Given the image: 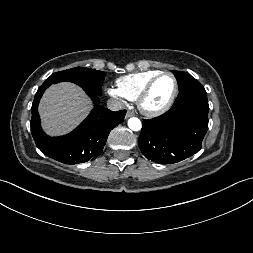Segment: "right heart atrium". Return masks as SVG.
<instances>
[{
    "label": "right heart atrium",
    "instance_id": "1",
    "mask_svg": "<svg viewBox=\"0 0 253 253\" xmlns=\"http://www.w3.org/2000/svg\"><path fill=\"white\" fill-rule=\"evenodd\" d=\"M107 93L116 99H119V100L123 99V96L120 94V92L116 88H113V87L108 88Z\"/></svg>",
    "mask_w": 253,
    "mask_h": 253
}]
</instances>
